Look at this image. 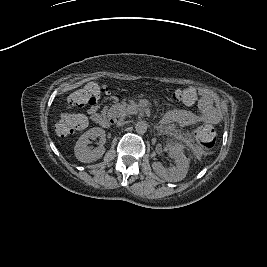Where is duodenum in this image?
Returning a JSON list of instances; mask_svg holds the SVG:
<instances>
[{
    "mask_svg": "<svg viewBox=\"0 0 267 267\" xmlns=\"http://www.w3.org/2000/svg\"><path fill=\"white\" fill-rule=\"evenodd\" d=\"M120 116V112L118 110H115L114 112H112L110 115H108L104 121L103 124H105L106 126H109L110 123H114L115 119Z\"/></svg>",
    "mask_w": 267,
    "mask_h": 267,
    "instance_id": "obj_1",
    "label": "duodenum"
}]
</instances>
